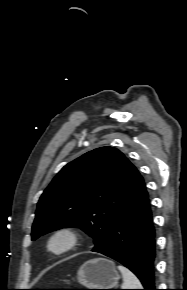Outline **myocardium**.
<instances>
[{"label": "myocardium", "instance_id": "f54148a6", "mask_svg": "<svg viewBox=\"0 0 187 290\" xmlns=\"http://www.w3.org/2000/svg\"><path fill=\"white\" fill-rule=\"evenodd\" d=\"M80 233L73 227L63 226L55 229L46 242L47 251L55 256L63 255L80 243Z\"/></svg>", "mask_w": 187, "mask_h": 290}]
</instances>
